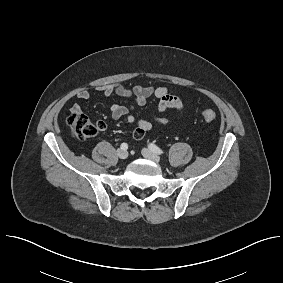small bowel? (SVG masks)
I'll return each instance as SVG.
<instances>
[{
  "label": "small bowel",
  "instance_id": "1",
  "mask_svg": "<svg viewBox=\"0 0 283 283\" xmlns=\"http://www.w3.org/2000/svg\"><path fill=\"white\" fill-rule=\"evenodd\" d=\"M98 90L107 97L117 96L134 98L138 106L147 105L152 98L157 99V116L155 117V122L160 125H166L169 122L168 119L161 117V114L170 109L178 111L183 109V104L179 97L166 87L136 85L132 88H127L121 84H110L99 86ZM76 97L82 101H87L90 98V93L87 90L82 89L77 92ZM132 111V106L112 104L110 107V113L113 119L118 120L122 117H126L129 123H134L136 121ZM71 112L79 113L81 112V107L78 104H74L71 107ZM152 126V122L148 120H138L137 125L133 130V137L135 139H142L146 133L152 129Z\"/></svg>",
  "mask_w": 283,
  "mask_h": 283
}]
</instances>
